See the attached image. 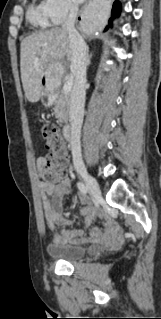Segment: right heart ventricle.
Returning a JSON list of instances; mask_svg holds the SVG:
<instances>
[{
	"mask_svg": "<svg viewBox=\"0 0 161 319\" xmlns=\"http://www.w3.org/2000/svg\"><path fill=\"white\" fill-rule=\"evenodd\" d=\"M27 17L30 23L37 28H46L53 25L45 2L38 5H32L28 10Z\"/></svg>",
	"mask_w": 161,
	"mask_h": 319,
	"instance_id": "obj_1",
	"label": "right heart ventricle"
}]
</instances>
